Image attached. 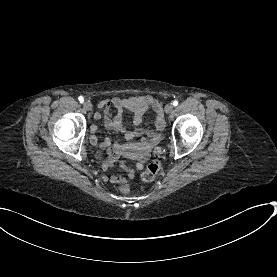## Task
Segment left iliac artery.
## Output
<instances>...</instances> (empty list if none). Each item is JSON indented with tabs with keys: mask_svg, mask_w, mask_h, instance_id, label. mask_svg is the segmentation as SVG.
Instances as JSON below:
<instances>
[{
	"mask_svg": "<svg viewBox=\"0 0 277 277\" xmlns=\"http://www.w3.org/2000/svg\"><path fill=\"white\" fill-rule=\"evenodd\" d=\"M173 105H174V106H177V105H178V101L175 100V101L173 102Z\"/></svg>",
	"mask_w": 277,
	"mask_h": 277,
	"instance_id": "left-iliac-artery-1",
	"label": "left iliac artery"
}]
</instances>
